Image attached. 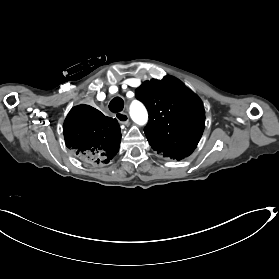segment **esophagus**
Returning a JSON list of instances; mask_svg holds the SVG:
<instances>
[{"label":"esophagus","mask_w":279,"mask_h":279,"mask_svg":"<svg viewBox=\"0 0 279 279\" xmlns=\"http://www.w3.org/2000/svg\"><path fill=\"white\" fill-rule=\"evenodd\" d=\"M115 118L118 120L121 124H127L129 122V116L125 112H117L115 114Z\"/></svg>","instance_id":"1"}]
</instances>
